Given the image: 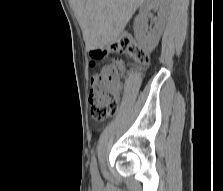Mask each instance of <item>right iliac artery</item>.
I'll return each mask as SVG.
<instances>
[{
	"instance_id": "right-iliac-artery-1",
	"label": "right iliac artery",
	"mask_w": 223,
	"mask_h": 191,
	"mask_svg": "<svg viewBox=\"0 0 223 191\" xmlns=\"http://www.w3.org/2000/svg\"><path fill=\"white\" fill-rule=\"evenodd\" d=\"M91 174H92V176H93V178L95 180H98L99 173H98L97 162H96V158L95 157H93L92 161H91Z\"/></svg>"
}]
</instances>
